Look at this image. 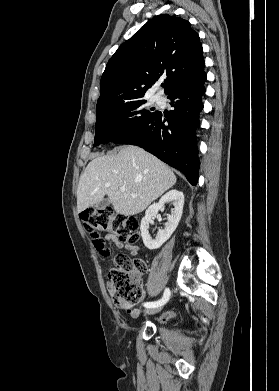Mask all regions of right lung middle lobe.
Masks as SVG:
<instances>
[{
    "label": "right lung middle lobe",
    "mask_w": 279,
    "mask_h": 391,
    "mask_svg": "<svg viewBox=\"0 0 279 391\" xmlns=\"http://www.w3.org/2000/svg\"><path fill=\"white\" fill-rule=\"evenodd\" d=\"M145 104L146 100H137L96 114L94 146L114 142L128 130L157 114L158 111L147 108Z\"/></svg>",
    "instance_id": "right-lung-middle-lobe-1"
}]
</instances>
